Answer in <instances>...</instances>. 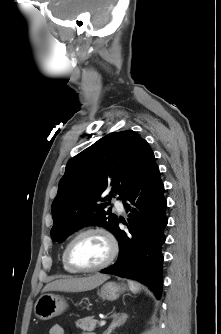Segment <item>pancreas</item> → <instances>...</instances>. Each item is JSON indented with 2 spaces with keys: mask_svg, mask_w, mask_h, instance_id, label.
Segmentation results:
<instances>
[{
  "mask_svg": "<svg viewBox=\"0 0 221 334\" xmlns=\"http://www.w3.org/2000/svg\"><path fill=\"white\" fill-rule=\"evenodd\" d=\"M98 320L94 319L93 316H88L82 319H79L75 322L76 327L82 329L83 331H87L85 334H94L91 333L96 328Z\"/></svg>",
  "mask_w": 221,
  "mask_h": 334,
  "instance_id": "cf45deb5",
  "label": "pancreas"
}]
</instances>
